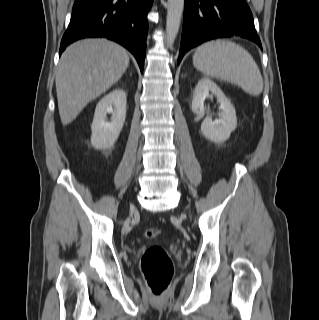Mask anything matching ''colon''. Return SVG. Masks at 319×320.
Here are the masks:
<instances>
[{"instance_id": "5ec220e1", "label": "colon", "mask_w": 319, "mask_h": 320, "mask_svg": "<svg viewBox=\"0 0 319 320\" xmlns=\"http://www.w3.org/2000/svg\"><path fill=\"white\" fill-rule=\"evenodd\" d=\"M146 238L153 239L160 235L157 228H149L144 232ZM141 270L154 297L165 294L173 275V263L166 250L159 245L150 246L141 259Z\"/></svg>"}]
</instances>
